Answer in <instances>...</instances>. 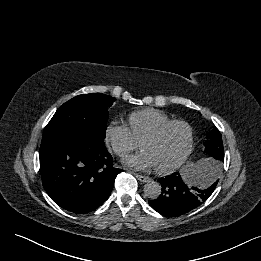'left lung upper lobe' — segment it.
Returning <instances> with one entry per match:
<instances>
[{"mask_svg":"<svg viewBox=\"0 0 261 261\" xmlns=\"http://www.w3.org/2000/svg\"><path fill=\"white\" fill-rule=\"evenodd\" d=\"M205 152L212 156L209 162L216 163L221 166L224 162V149L222 143V136L217 129L210 131L206 136Z\"/></svg>","mask_w":261,"mask_h":261,"instance_id":"5c2ea615","label":"left lung upper lobe"}]
</instances>
